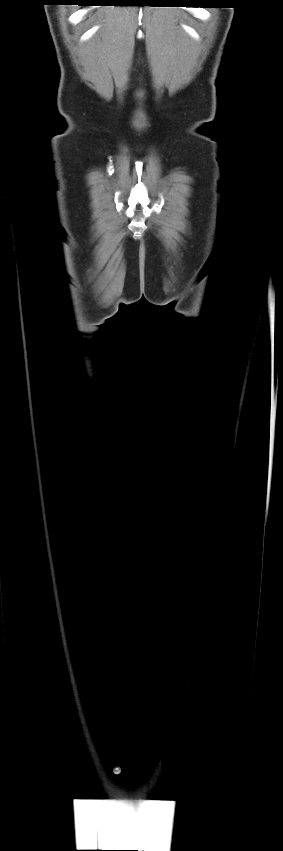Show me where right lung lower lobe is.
Masks as SVG:
<instances>
[{
	"label": "right lung lower lobe",
	"instance_id": "1",
	"mask_svg": "<svg viewBox=\"0 0 283 851\" xmlns=\"http://www.w3.org/2000/svg\"><path fill=\"white\" fill-rule=\"evenodd\" d=\"M81 1L83 2V4H79V5H82V6L84 5V6H85V5H88V4H84V3H86V2H90L91 0H81Z\"/></svg>",
	"mask_w": 283,
	"mask_h": 851
}]
</instances>
